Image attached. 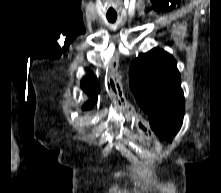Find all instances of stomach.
<instances>
[{"label":"stomach","instance_id":"0dacf381","mask_svg":"<svg viewBox=\"0 0 221 193\" xmlns=\"http://www.w3.org/2000/svg\"><path fill=\"white\" fill-rule=\"evenodd\" d=\"M113 103L117 104V109H123L122 115H127L128 123H132L135 129V134H145L146 138H150L151 142H156L157 138H163V133H150V126L147 125V120H139L134 117L135 104L128 102V98H113Z\"/></svg>","mask_w":221,"mask_h":193}]
</instances>
